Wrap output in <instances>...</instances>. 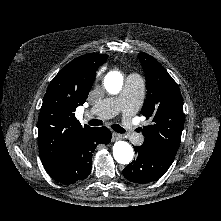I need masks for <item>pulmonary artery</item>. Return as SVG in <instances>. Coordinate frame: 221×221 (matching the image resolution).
I'll use <instances>...</instances> for the list:
<instances>
[{
    "instance_id": "pulmonary-artery-1",
    "label": "pulmonary artery",
    "mask_w": 221,
    "mask_h": 221,
    "mask_svg": "<svg viewBox=\"0 0 221 221\" xmlns=\"http://www.w3.org/2000/svg\"><path fill=\"white\" fill-rule=\"evenodd\" d=\"M144 94V81L138 74L131 73L127 76L124 89L120 96L106 99L97 103L85 118L92 116L99 118H111L119 111L124 112L123 126L130 131V139L134 143H140V136L133 131V120L131 115L136 111L142 102Z\"/></svg>"
}]
</instances>
